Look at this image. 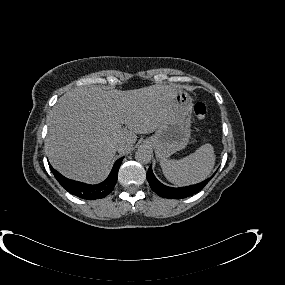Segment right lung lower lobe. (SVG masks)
Instances as JSON below:
<instances>
[{"label": "right lung lower lobe", "instance_id": "right-lung-lower-lobe-1", "mask_svg": "<svg viewBox=\"0 0 285 285\" xmlns=\"http://www.w3.org/2000/svg\"><path fill=\"white\" fill-rule=\"evenodd\" d=\"M122 160L123 158L118 159L115 162L109 177L104 182L97 185H90L70 180L62 176L51 165L49 166L55 178L70 194L82 199L94 200L104 198L113 190L118 178V170L122 163Z\"/></svg>", "mask_w": 285, "mask_h": 285}]
</instances>
